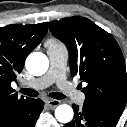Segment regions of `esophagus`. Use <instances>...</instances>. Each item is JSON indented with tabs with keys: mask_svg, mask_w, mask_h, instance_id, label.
Returning a JSON list of instances; mask_svg holds the SVG:
<instances>
[{
	"mask_svg": "<svg viewBox=\"0 0 127 127\" xmlns=\"http://www.w3.org/2000/svg\"><path fill=\"white\" fill-rule=\"evenodd\" d=\"M59 100H47L46 105L49 109H55L59 105Z\"/></svg>",
	"mask_w": 127,
	"mask_h": 127,
	"instance_id": "obj_1",
	"label": "esophagus"
}]
</instances>
